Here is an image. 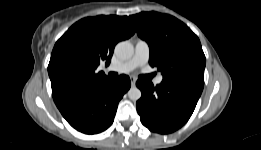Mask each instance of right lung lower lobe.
<instances>
[{
    "label": "right lung lower lobe",
    "instance_id": "right-lung-lower-lobe-1",
    "mask_svg": "<svg viewBox=\"0 0 261 150\" xmlns=\"http://www.w3.org/2000/svg\"><path fill=\"white\" fill-rule=\"evenodd\" d=\"M130 86L129 77L121 75L116 80H109L95 89L74 96L58 109L76 130L97 134L113 123L118 103Z\"/></svg>",
    "mask_w": 261,
    "mask_h": 150
}]
</instances>
